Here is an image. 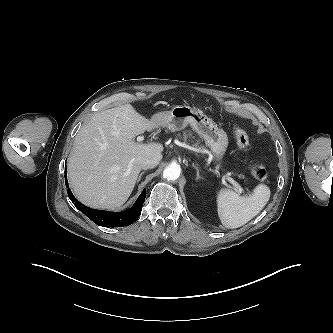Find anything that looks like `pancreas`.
<instances>
[{
    "label": "pancreas",
    "mask_w": 333,
    "mask_h": 333,
    "mask_svg": "<svg viewBox=\"0 0 333 333\" xmlns=\"http://www.w3.org/2000/svg\"><path fill=\"white\" fill-rule=\"evenodd\" d=\"M178 136H179L180 138H182L185 142L192 143V145H193L194 147H199V148H201V149H204L203 146H199V145H200L199 140H195V141H194L195 137L193 136V134H192L191 131H185V132H183L182 135H181V134H178Z\"/></svg>",
    "instance_id": "obj_1"
}]
</instances>
